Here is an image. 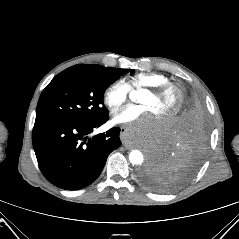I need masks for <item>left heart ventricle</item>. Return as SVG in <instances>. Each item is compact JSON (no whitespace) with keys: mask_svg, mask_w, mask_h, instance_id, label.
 <instances>
[{"mask_svg":"<svg viewBox=\"0 0 239 239\" xmlns=\"http://www.w3.org/2000/svg\"><path fill=\"white\" fill-rule=\"evenodd\" d=\"M139 101L143 105L149 106L156 116L161 117L165 112L170 110L174 103L175 97L173 94H167L161 97H155L149 92H142Z\"/></svg>","mask_w":239,"mask_h":239,"instance_id":"1","label":"left heart ventricle"}]
</instances>
